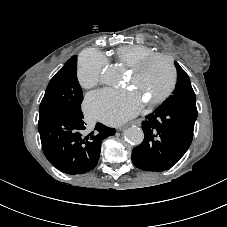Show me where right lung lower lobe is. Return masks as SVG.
<instances>
[{"instance_id": "1", "label": "right lung lower lobe", "mask_w": 227, "mask_h": 227, "mask_svg": "<svg viewBox=\"0 0 227 227\" xmlns=\"http://www.w3.org/2000/svg\"><path fill=\"white\" fill-rule=\"evenodd\" d=\"M83 118L82 113L62 112L38 124L46 158L66 174H83L94 169L102 141L115 134V129L97 123L94 131L85 135Z\"/></svg>"}]
</instances>
